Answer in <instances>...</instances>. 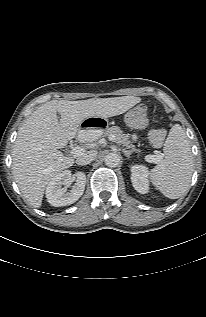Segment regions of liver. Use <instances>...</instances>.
I'll return each instance as SVG.
<instances>
[{
  "label": "liver",
  "mask_w": 206,
  "mask_h": 317,
  "mask_svg": "<svg viewBox=\"0 0 206 317\" xmlns=\"http://www.w3.org/2000/svg\"><path fill=\"white\" fill-rule=\"evenodd\" d=\"M140 101L135 96L52 100L31 113L18 131L12 152V173L29 204L40 208L49 181L74 164L73 157L64 156L59 149L76 137L86 118L117 116Z\"/></svg>",
  "instance_id": "obj_1"
}]
</instances>
